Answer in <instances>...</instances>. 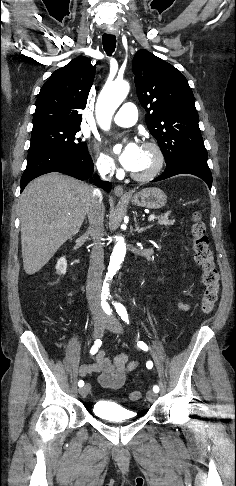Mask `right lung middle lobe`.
<instances>
[{
    "instance_id": "obj_1",
    "label": "right lung middle lobe",
    "mask_w": 236,
    "mask_h": 486,
    "mask_svg": "<svg viewBox=\"0 0 236 486\" xmlns=\"http://www.w3.org/2000/svg\"><path fill=\"white\" fill-rule=\"evenodd\" d=\"M80 125L43 124L34 126L29 150L55 149L87 152V145L76 135Z\"/></svg>"
}]
</instances>
